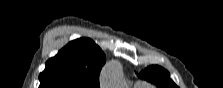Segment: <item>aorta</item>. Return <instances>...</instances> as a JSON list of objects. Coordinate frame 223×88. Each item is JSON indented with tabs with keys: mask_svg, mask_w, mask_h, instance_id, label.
Wrapping results in <instances>:
<instances>
[{
	"mask_svg": "<svg viewBox=\"0 0 223 88\" xmlns=\"http://www.w3.org/2000/svg\"><path fill=\"white\" fill-rule=\"evenodd\" d=\"M100 83L103 88H122L124 86L122 68L119 62L111 61L102 70Z\"/></svg>",
	"mask_w": 223,
	"mask_h": 88,
	"instance_id": "1",
	"label": "aorta"
}]
</instances>
